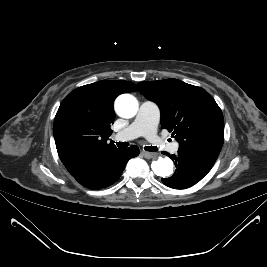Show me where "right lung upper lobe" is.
Segmentation results:
<instances>
[{
    "label": "right lung upper lobe",
    "instance_id": "right-lung-upper-lobe-1",
    "mask_svg": "<svg viewBox=\"0 0 267 267\" xmlns=\"http://www.w3.org/2000/svg\"><path fill=\"white\" fill-rule=\"evenodd\" d=\"M136 90L130 81L102 80L65 97L55 116L53 134L58 155L71 175L95 156L117 149L107 143L115 119L113 103L118 95Z\"/></svg>",
    "mask_w": 267,
    "mask_h": 267
}]
</instances>
